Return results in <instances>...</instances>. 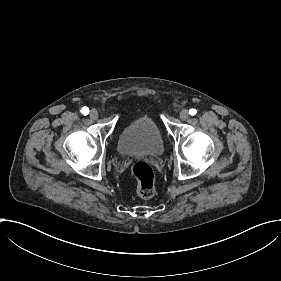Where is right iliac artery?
Wrapping results in <instances>:
<instances>
[{"label":"right iliac artery","mask_w":281,"mask_h":281,"mask_svg":"<svg viewBox=\"0 0 281 281\" xmlns=\"http://www.w3.org/2000/svg\"><path fill=\"white\" fill-rule=\"evenodd\" d=\"M81 113L82 114H84V115H88L89 114V108L88 107H83L82 109H81Z\"/></svg>","instance_id":"82829eb1"}]
</instances>
